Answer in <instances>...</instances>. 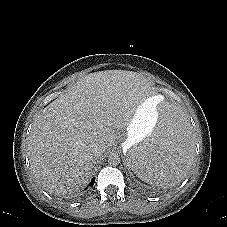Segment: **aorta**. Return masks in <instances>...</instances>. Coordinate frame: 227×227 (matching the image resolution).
I'll return each mask as SVG.
<instances>
[{"label": "aorta", "instance_id": "1", "mask_svg": "<svg viewBox=\"0 0 227 227\" xmlns=\"http://www.w3.org/2000/svg\"><path fill=\"white\" fill-rule=\"evenodd\" d=\"M121 162L120 156L117 153H111L108 156V163L110 165L116 166Z\"/></svg>", "mask_w": 227, "mask_h": 227}]
</instances>
